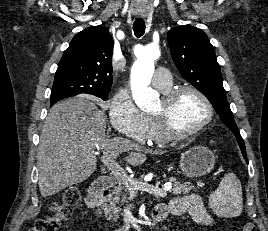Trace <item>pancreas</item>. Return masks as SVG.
<instances>
[{
	"label": "pancreas",
	"mask_w": 268,
	"mask_h": 231,
	"mask_svg": "<svg viewBox=\"0 0 268 231\" xmlns=\"http://www.w3.org/2000/svg\"><path fill=\"white\" fill-rule=\"evenodd\" d=\"M169 185H172L170 193L173 195L188 194L191 190L195 189L189 182L181 183L176 178L171 177L169 179ZM201 186V184H198ZM129 193L128 188L118 180V185L111 191L107 203L103 206L105 216L108 220L117 221L120 216L121 207L127 203V195Z\"/></svg>",
	"instance_id": "pancreas-1"
}]
</instances>
